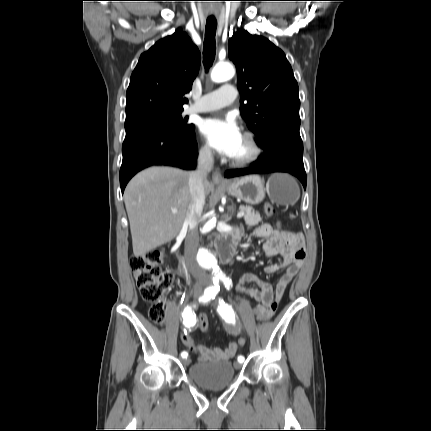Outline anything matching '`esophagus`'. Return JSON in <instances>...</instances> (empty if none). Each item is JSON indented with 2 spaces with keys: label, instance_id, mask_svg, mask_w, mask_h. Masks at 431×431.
<instances>
[{
  "label": "esophagus",
  "instance_id": "obj_1",
  "mask_svg": "<svg viewBox=\"0 0 431 431\" xmlns=\"http://www.w3.org/2000/svg\"><path fill=\"white\" fill-rule=\"evenodd\" d=\"M212 179L215 183H221V184L228 183V181L223 178L222 174L218 170L213 171Z\"/></svg>",
  "mask_w": 431,
  "mask_h": 431
}]
</instances>
